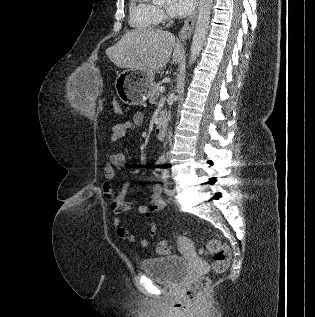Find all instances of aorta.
Segmentation results:
<instances>
[{
    "label": "aorta",
    "mask_w": 315,
    "mask_h": 317,
    "mask_svg": "<svg viewBox=\"0 0 315 317\" xmlns=\"http://www.w3.org/2000/svg\"><path fill=\"white\" fill-rule=\"evenodd\" d=\"M159 2L162 0H153ZM213 5V0H200L199 13L196 21V26L192 38L191 53L189 58V65L193 64L206 41L209 30L210 15Z\"/></svg>",
    "instance_id": "aorta-1"
}]
</instances>
